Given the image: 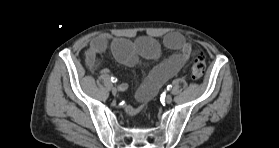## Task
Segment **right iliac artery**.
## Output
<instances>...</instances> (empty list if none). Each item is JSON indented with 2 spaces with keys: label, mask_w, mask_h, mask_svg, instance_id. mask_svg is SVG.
<instances>
[{
  "label": "right iliac artery",
  "mask_w": 279,
  "mask_h": 148,
  "mask_svg": "<svg viewBox=\"0 0 279 148\" xmlns=\"http://www.w3.org/2000/svg\"><path fill=\"white\" fill-rule=\"evenodd\" d=\"M117 81H118L117 78L111 77V82L116 83ZM125 89H127L126 86L122 87L120 90H121V91H124Z\"/></svg>",
  "instance_id": "right-iliac-artery-1"
}]
</instances>
